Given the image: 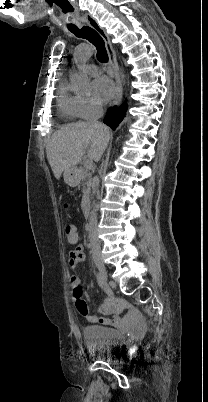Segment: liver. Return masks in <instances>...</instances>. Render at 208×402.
Instances as JSON below:
<instances>
[{
  "label": "liver",
  "instance_id": "liver-1",
  "mask_svg": "<svg viewBox=\"0 0 208 402\" xmlns=\"http://www.w3.org/2000/svg\"><path fill=\"white\" fill-rule=\"evenodd\" d=\"M109 140V128L93 122L69 124L54 132L47 146V158L55 178L60 180L64 170L75 168L89 146V160L98 162Z\"/></svg>",
  "mask_w": 208,
  "mask_h": 402
}]
</instances>
